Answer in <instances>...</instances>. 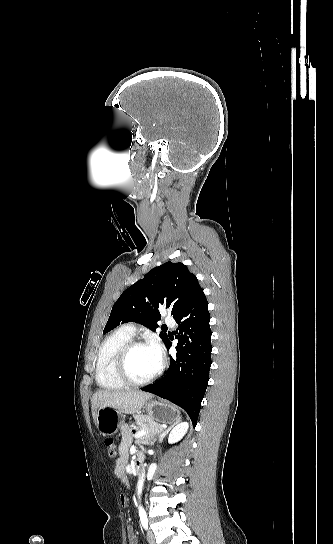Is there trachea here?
<instances>
[{
	"label": "trachea",
	"instance_id": "trachea-1",
	"mask_svg": "<svg viewBox=\"0 0 333 544\" xmlns=\"http://www.w3.org/2000/svg\"><path fill=\"white\" fill-rule=\"evenodd\" d=\"M163 327H164V328H167V326H166V325H163Z\"/></svg>",
	"mask_w": 333,
	"mask_h": 544
}]
</instances>
